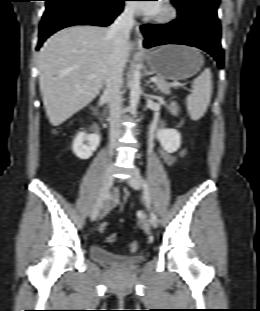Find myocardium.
<instances>
[{
    "label": "myocardium",
    "instance_id": "f54148a6",
    "mask_svg": "<svg viewBox=\"0 0 260 311\" xmlns=\"http://www.w3.org/2000/svg\"><path fill=\"white\" fill-rule=\"evenodd\" d=\"M161 10L156 13L152 20L158 24H168L173 22L178 15L177 8L172 4L171 0H163L160 3Z\"/></svg>",
    "mask_w": 260,
    "mask_h": 311
}]
</instances>
